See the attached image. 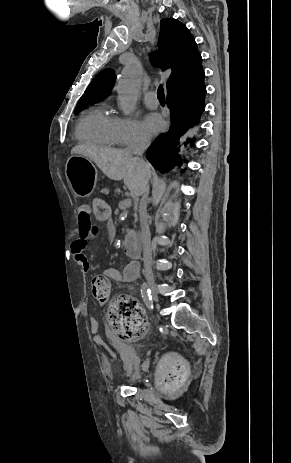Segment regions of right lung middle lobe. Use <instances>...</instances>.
Instances as JSON below:
<instances>
[{"label":"right lung middle lobe","mask_w":291,"mask_h":463,"mask_svg":"<svg viewBox=\"0 0 291 463\" xmlns=\"http://www.w3.org/2000/svg\"><path fill=\"white\" fill-rule=\"evenodd\" d=\"M86 105H88V103L78 104V105L76 106L75 112H78L79 110H81L82 108H84Z\"/></svg>","instance_id":"obj_1"}]
</instances>
